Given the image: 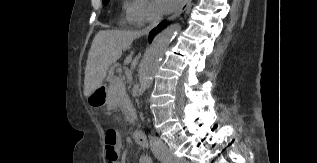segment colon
Wrapping results in <instances>:
<instances>
[{"label":"colon","instance_id":"colon-1","mask_svg":"<svg viewBox=\"0 0 317 163\" xmlns=\"http://www.w3.org/2000/svg\"><path fill=\"white\" fill-rule=\"evenodd\" d=\"M105 153L108 163H115L119 156L118 142L119 136L116 130L107 129L105 132Z\"/></svg>","mask_w":317,"mask_h":163}]
</instances>
